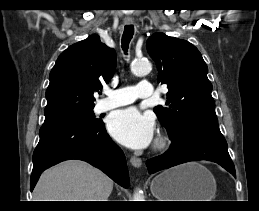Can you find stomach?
<instances>
[{
    "label": "stomach",
    "mask_w": 259,
    "mask_h": 211,
    "mask_svg": "<svg viewBox=\"0 0 259 211\" xmlns=\"http://www.w3.org/2000/svg\"><path fill=\"white\" fill-rule=\"evenodd\" d=\"M150 189L158 201H212L216 181L208 169L191 162L163 171Z\"/></svg>",
    "instance_id": "0dacf381"
}]
</instances>
